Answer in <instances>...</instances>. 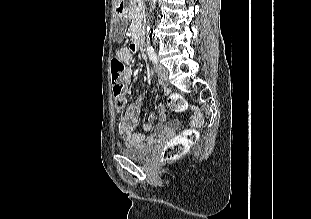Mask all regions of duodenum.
I'll return each mask as SVG.
<instances>
[{
  "label": "duodenum",
  "instance_id": "obj_1",
  "mask_svg": "<svg viewBox=\"0 0 311 219\" xmlns=\"http://www.w3.org/2000/svg\"><path fill=\"white\" fill-rule=\"evenodd\" d=\"M127 10L126 8V5L124 3H121L119 6H118V12L119 13H125ZM136 44L141 47L143 45V39L139 36V37H136Z\"/></svg>",
  "mask_w": 311,
  "mask_h": 219
}]
</instances>
